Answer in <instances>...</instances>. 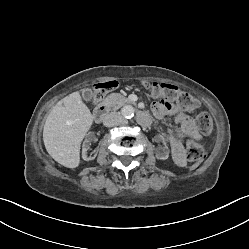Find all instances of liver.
Returning <instances> with one entry per match:
<instances>
[{"label": "liver", "instance_id": "obj_1", "mask_svg": "<svg viewBox=\"0 0 249 249\" xmlns=\"http://www.w3.org/2000/svg\"><path fill=\"white\" fill-rule=\"evenodd\" d=\"M93 124V116L80 93L73 92L58 102L48 115L43 141L49 155L67 168L80 164V145Z\"/></svg>", "mask_w": 249, "mask_h": 249}]
</instances>
